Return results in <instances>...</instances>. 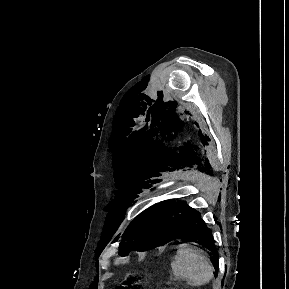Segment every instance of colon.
<instances>
[{
    "mask_svg": "<svg viewBox=\"0 0 289 289\" xmlns=\"http://www.w3.org/2000/svg\"><path fill=\"white\" fill-rule=\"evenodd\" d=\"M116 289H143V287L139 281L133 279L119 285Z\"/></svg>",
    "mask_w": 289,
    "mask_h": 289,
    "instance_id": "obj_1",
    "label": "colon"
}]
</instances>
